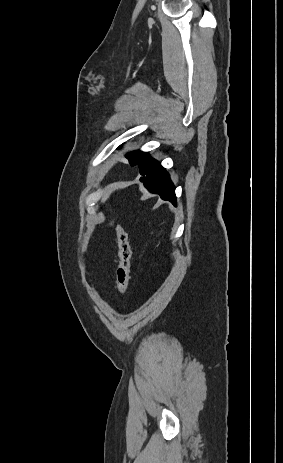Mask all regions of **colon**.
Masks as SVG:
<instances>
[{"instance_id":"colon-1","label":"colon","mask_w":283,"mask_h":463,"mask_svg":"<svg viewBox=\"0 0 283 463\" xmlns=\"http://www.w3.org/2000/svg\"><path fill=\"white\" fill-rule=\"evenodd\" d=\"M113 229L117 237L119 254V263L116 271V286L119 294L124 296L129 285L132 252L126 230L117 224H113Z\"/></svg>"}]
</instances>
